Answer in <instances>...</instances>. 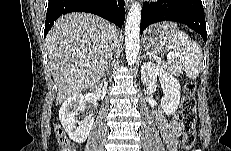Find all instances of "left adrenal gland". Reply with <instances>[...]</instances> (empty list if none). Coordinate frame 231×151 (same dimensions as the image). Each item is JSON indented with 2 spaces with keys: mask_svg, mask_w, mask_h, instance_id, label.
<instances>
[{
  "mask_svg": "<svg viewBox=\"0 0 231 151\" xmlns=\"http://www.w3.org/2000/svg\"><path fill=\"white\" fill-rule=\"evenodd\" d=\"M145 57V53L143 54V58Z\"/></svg>",
  "mask_w": 231,
  "mask_h": 151,
  "instance_id": "obj_1",
  "label": "left adrenal gland"
}]
</instances>
